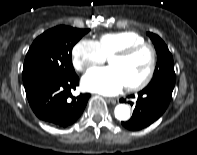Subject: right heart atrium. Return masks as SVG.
<instances>
[{"mask_svg":"<svg viewBox=\"0 0 197 155\" xmlns=\"http://www.w3.org/2000/svg\"><path fill=\"white\" fill-rule=\"evenodd\" d=\"M105 60L106 55L97 41L82 39L72 49V63L77 71L85 72Z\"/></svg>","mask_w":197,"mask_h":155,"instance_id":"1","label":"right heart atrium"}]
</instances>
